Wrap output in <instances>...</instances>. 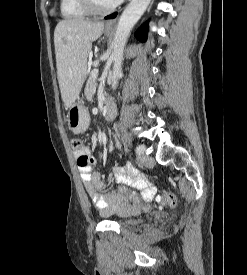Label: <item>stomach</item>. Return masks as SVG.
<instances>
[{
	"label": "stomach",
	"mask_w": 247,
	"mask_h": 275,
	"mask_svg": "<svg viewBox=\"0 0 247 275\" xmlns=\"http://www.w3.org/2000/svg\"><path fill=\"white\" fill-rule=\"evenodd\" d=\"M105 33L108 35L110 30L106 28ZM67 120L72 131L81 133L88 128L90 117L87 109L80 102H76L69 108Z\"/></svg>",
	"instance_id": "stomach-1"
}]
</instances>
